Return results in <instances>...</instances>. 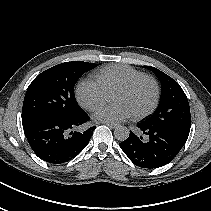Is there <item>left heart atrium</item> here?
I'll return each instance as SVG.
<instances>
[{
  "label": "left heart atrium",
  "instance_id": "left-heart-atrium-1",
  "mask_svg": "<svg viewBox=\"0 0 211 211\" xmlns=\"http://www.w3.org/2000/svg\"><path fill=\"white\" fill-rule=\"evenodd\" d=\"M133 115L131 110L122 103H114L98 108L93 119L100 122L118 123L130 118Z\"/></svg>",
  "mask_w": 211,
  "mask_h": 211
}]
</instances>
